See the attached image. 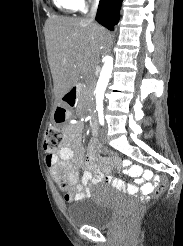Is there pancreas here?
Segmentation results:
<instances>
[{
  "label": "pancreas",
  "mask_w": 183,
  "mask_h": 246,
  "mask_svg": "<svg viewBox=\"0 0 183 246\" xmlns=\"http://www.w3.org/2000/svg\"><path fill=\"white\" fill-rule=\"evenodd\" d=\"M87 95V90L84 89L83 92H82V97H85ZM80 101L82 102L83 99L81 98Z\"/></svg>",
  "instance_id": "pancreas-1"
}]
</instances>
